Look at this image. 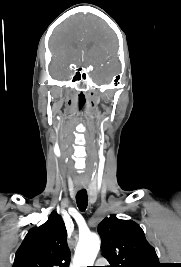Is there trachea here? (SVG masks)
I'll list each match as a JSON object with an SVG mask.
<instances>
[{"instance_id": "3493384b", "label": "trachea", "mask_w": 181, "mask_h": 267, "mask_svg": "<svg viewBox=\"0 0 181 267\" xmlns=\"http://www.w3.org/2000/svg\"><path fill=\"white\" fill-rule=\"evenodd\" d=\"M77 206L80 211H85L88 205V195L85 189L80 190L76 195Z\"/></svg>"}]
</instances>
